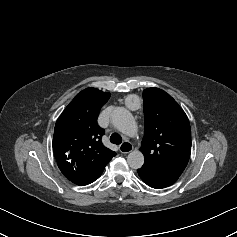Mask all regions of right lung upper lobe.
<instances>
[{
    "label": "right lung upper lobe",
    "mask_w": 237,
    "mask_h": 237,
    "mask_svg": "<svg viewBox=\"0 0 237 237\" xmlns=\"http://www.w3.org/2000/svg\"><path fill=\"white\" fill-rule=\"evenodd\" d=\"M109 98L110 93L86 88L68 104L55 124V158L71 176H97L116 155L103 146L104 131L96 122L100 108Z\"/></svg>",
    "instance_id": "right-lung-upper-lobe-1"
}]
</instances>
